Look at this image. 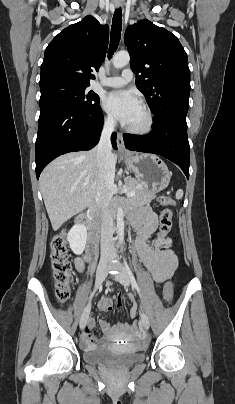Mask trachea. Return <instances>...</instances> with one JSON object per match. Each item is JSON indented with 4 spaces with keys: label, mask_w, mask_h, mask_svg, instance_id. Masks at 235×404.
<instances>
[{
    "label": "trachea",
    "mask_w": 235,
    "mask_h": 404,
    "mask_svg": "<svg viewBox=\"0 0 235 404\" xmlns=\"http://www.w3.org/2000/svg\"><path fill=\"white\" fill-rule=\"evenodd\" d=\"M121 28H122V11L121 8L116 9L113 15L112 27H111V38L110 45L108 50V58L110 59L113 53L116 51L120 37H121Z\"/></svg>",
    "instance_id": "trachea-1"
}]
</instances>
